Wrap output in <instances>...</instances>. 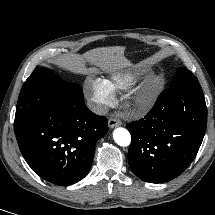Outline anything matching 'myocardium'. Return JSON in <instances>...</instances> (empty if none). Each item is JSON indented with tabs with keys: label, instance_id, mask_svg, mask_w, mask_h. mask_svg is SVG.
<instances>
[{
	"label": "myocardium",
	"instance_id": "f54148a6",
	"mask_svg": "<svg viewBox=\"0 0 215 215\" xmlns=\"http://www.w3.org/2000/svg\"><path fill=\"white\" fill-rule=\"evenodd\" d=\"M153 98V92L150 90L138 92L132 96V103L137 108H146Z\"/></svg>",
	"mask_w": 215,
	"mask_h": 215
}]
</instances>
